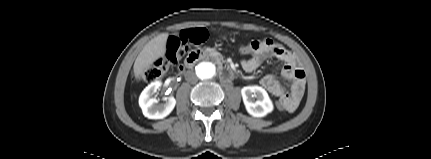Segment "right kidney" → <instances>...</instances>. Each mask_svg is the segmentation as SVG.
Listing matches in <instances>:
<instances>
[{"instance_id":"ca27d5eb","label":"right kidney","mask_w":431,"mask_h":159,"mask_svg":"<svg viewBox=\"0 0 431 159\" xmlns=\"http://www.w3.org/2000/svg\"><path fill=\"white\" fill-rule=\"evenodd\" d=\"M160 81H155L149 84L139 97V106L142 109L143 115L149 119H163L168 116L176 105L174 97L167 98L165 103H159L156 98H152L161 87Z\"/></svg>"}]
</instances>
